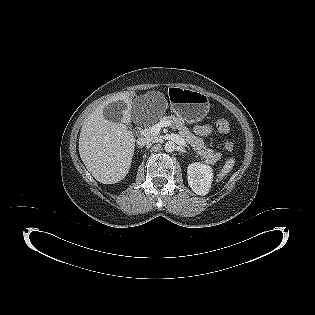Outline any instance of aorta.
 I'll return each instance as SVG.
<instances>
[{
	"label": "aorta",
	"instance_id": "762f6f07",
	"mask_svg": "<svg viewBox=\"0 0 315 315\" xmlns=\"http://www.w3.org/2000/svg\"><path fill=\"white\" fill-rule=\"evenodd\" d=\"M164 149L166 152H172L176 149V145L173 141H167L164 144Z\"/></svg>",
	"mask_w": 315,
	"mask_h": 315
}]
</instances>
